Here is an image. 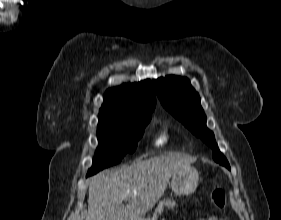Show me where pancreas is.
<instances>
[{"mask_svg": "<svg viewBox=\"0 0 281 220\" xmlns=\"http://www.w3.org/2000/svg\"><path fill=\"white\" fill-rule=\"evenodd\" d=\"M176 207V201L172 199H163L162 201L159 202L158 206L156 207L153 217H151L148 220H157L159 215H161L164 211V208H171L173 209Z\"/></svg>", "mask_w": 281, "mask_h": 220, "instance_id": "cf45deb5", "label": "pancreas"}]
</instances>
